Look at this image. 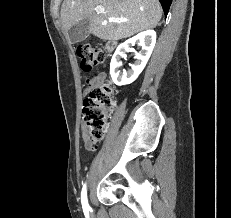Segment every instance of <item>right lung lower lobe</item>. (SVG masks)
<instances>
[{
	"label": "right lung lower lobe",
	"instance_id": "1",
	"mask_svg": "<svg viewBox=\"0 0 231 218\" xmlns=\"http://www.w3.org/2000/svg\"><path fill=\"white\" fill-rule=\"evenodd\" d=\"M164 10L165 16H167L172 0H159Z\"/></svg>",
	"mask_w": 231,
	"mask_h": 218
}]
</instances>
